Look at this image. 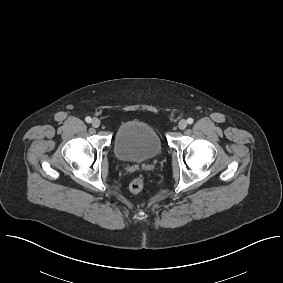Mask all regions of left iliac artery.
<instances>
[{
    "label": "left iliac artery",
    "instance_id": "44dca946",
    "mask_svg": "<svg viewBox=\"0 0 283 283\" xmlns=\"http://www.w3.org/2000/svg\"><path fill=\"white\" fill-rule=\"evenodd\" d=\"M193 121H194V120H193L192 118H188V119H187V123H188V124H192Z\"/></svg>",
    "mask_w": 283,
    "mask_h": 283
}]
</instances>
